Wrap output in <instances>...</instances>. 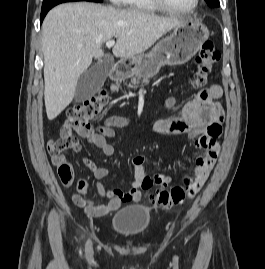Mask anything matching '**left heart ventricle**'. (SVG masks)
<instances>
[{"label": "left heart ventricle", "mask_w": 265, "mask_h": 269, "mask_svg": "<svg viewBox=\"0 0 265 269\" xmlns=\"http://www.w3.org/2000/svg\"><path fill=\"white\" fill-rule=\"evenodd\" d=\"M170 6L187 10L193 7L195 0H165Z\"/></svg>", "instance_id": "1"}]
</instances>
